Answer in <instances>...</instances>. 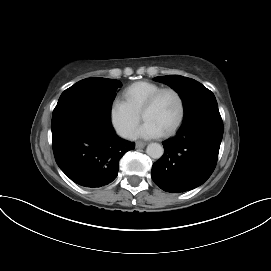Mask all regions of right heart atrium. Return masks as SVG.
Listing matches in <instances>:
<instances>
[{
	"label": "right heart atrium",
	"instance_id": "d8ad5b80",
	"mask_svg": "<svg viewBox=\"0 0 271 271\" xmlns=\"http://www.w3.org/2000/svg\"><path fill=\"white\" fill-rule=\"evenodd\" d=\"M109 121L115 132L130 137L140 122V115L134 112L124 100L115 98L109 106Z\"/></svg>",
	"mask_w": 271,
	"mask_h": 271
}]
</instances>
